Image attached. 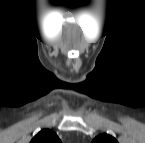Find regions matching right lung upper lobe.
<instances>
[{
  "label": "right lung upper lobe",
  "mask_w": 145,
  "mask_h": 143,
  "mask_svg": "<svg viewBox=\"0 0 145 143\" xmlns=\"http://www.w3.org/2000/svg\"><path fill=\"white\" fill-rule=\"evenodd\" d=\"M30 143H61V141L56 133L49 129H43L34 136Z\"/></svg>",
  "instance_id": "1"
}]
</instances>
